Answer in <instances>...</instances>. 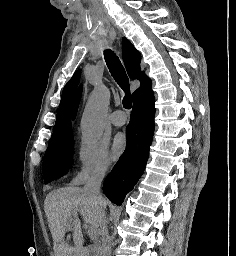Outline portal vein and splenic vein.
I'll list each match as a JSON object with an SVG mask.
<instances>
[{
  "mask_svg": "<svg viewBox=\"0 0 236 256\" xmlns=\"http://www.w3.org/2000/svg\"><path fill=\"white\" fill-rule=\"evenodd\" d=\"M89 234H91L92 238H96L97 232L94 228H89Z\"/></svg>",
  "mask_w": 236,
  "mask_h": 256,
  "instance_id": "obj_1",
  "label": "portal vein and splenic vein"
}]
</instances>
